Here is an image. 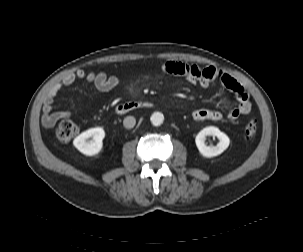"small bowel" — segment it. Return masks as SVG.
Instances as JSON below:
<instances>
[{"label": "small bowel", "mask_w": 303, "mask_h": 252, "mask_svg": "<svg viewBox=\"0 0 303 252\" xmlns=\"http://www.w3.org/2000/svg\"><path fill=\"white\" fill-rule=\"evenodd\" d=\"M165 73L184 78L188 83L201 87H210L215 82L220 81L223 86L231 92L238 101V106L228 111L227 119L234 121L241 115L251 111V102L247 90L233 77L220 72L214 67H201L194 64L169 61L163 64ZM86 80L93 84L100 93H108L119 84L117 76H108L105 72H85L77 70L55 83L49 90L42 107V123L44 128L50 129L61 119L75 115V112L57 111L54 98L62 87L72 85L76 80ZM196 121H220L223 114L214 109L201 108L192 113Z\"/></svg>", "instance_id": "small-bowel-1"}]
</instances>
